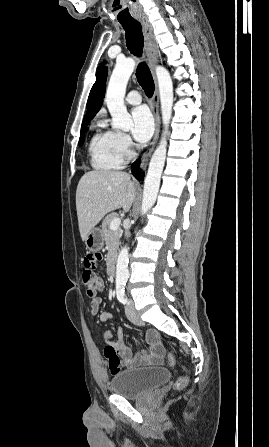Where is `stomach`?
<instances>
[{
	"label": "stomach",
	"mask_w": 269,
	"mask_h": 447,
	"mask_svg": "<svg viewBox=\"0 0 269 447\" xmlns=\"http://www.w3.org/2000/svg\"><path fill=\"white\" fill-rule=\"evenodd\" d=\"M87 249L90 251H99L104 245V233L100 227H93L85 237Z\"/></svg>",
	"instance_id": "obj_1"
}]
</instances>
